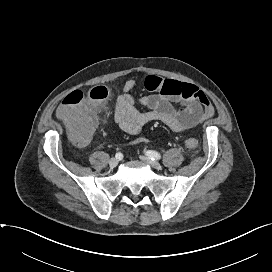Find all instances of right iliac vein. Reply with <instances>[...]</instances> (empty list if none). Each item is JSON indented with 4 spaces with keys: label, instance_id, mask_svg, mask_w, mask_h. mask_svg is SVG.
<instances>
[{
    "label": "right iliac vein",
    "instance_id": "1",
    "mask_svg": "<svg viewBox=\"0 0 272 272\" xmlns=\"http://www.w3.org/2000/svg\"><path fill=\"white\" fill-rule=\"evenodd\" d=\"M117 165H118V159H116V158H111V159L109 160V166H110L111 168H115Z\"/></svg>",
    "mask_w": 272,
    "mask_h": 272
}]
</instances>
